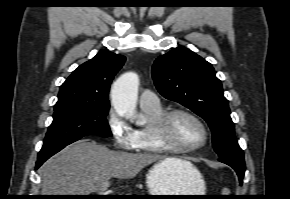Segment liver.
<instances>
[{
	"mask_svg": "<svg viewBox=\"0 0 290 199\" xmlns=\"http://www.w3.org/2000/svg\"><path fill=\"white\" fill-rule=\"evenodd\" d=\"M156 161L176 170L193 167L178 158L113 151L93 140L81 139L43 164L40 169L42 195H90L110 178H133Z\"/></svg>",
	"mask_w": 290,
	"mask_h": 199,
	"instance_id": "6515ba94",
	"label": "liver"
}]
</instances>
